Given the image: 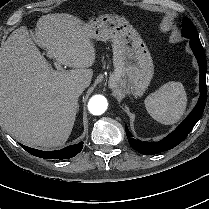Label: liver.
I'll return each mask as SVG.
<instances>
[{
  "label": "liver",
  "instance_id": "6515ba94",
  "mask_svg": "<svg viewBox=\"0 0 209 209\" xmlns=\"http://www.w3.org/2000/svg\"><path fill=\"white\" fill-rule=\"evenodd\" d=\"M36 43L73 69L53 70ZM94 62L87 24L75 16L44 15L34 35L25 26L14 30L0 51V120L5 129L28 146L64 145L78 111L75 86L90 85Z\"/></svg>",
  "mask_w": 209,
  "mask_h": 209
}]
</instances>
